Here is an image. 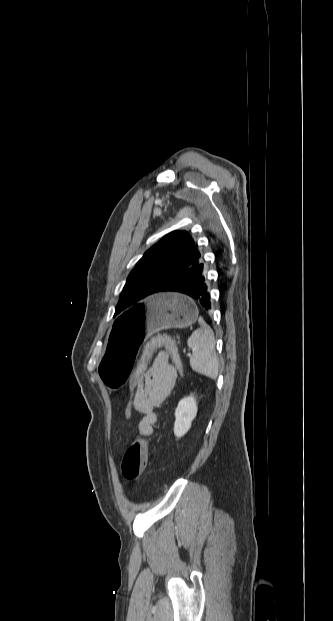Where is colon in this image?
<instances>
[{
    "mask_svg": "<svg viewBox=\"0 0 333 621\" xmlns=\"http://www.w3.org/2000/svg\"><path fill=\"white\" fill-rule=\"evenodd\" d=\"M164 347L170 354L172 361L180 372L182 370V362L176 345L168 337H153L144 346L143 352L130 378L131 400L126 408L127 416H130L133 409V398L139 387V384L146 372V367L153 352ZM148 459V441L141 439L133 443L125 452L122 463L121 472L123 477L128 481L137 479L145 470Z\"/></svg>",
    "mask_w": 333,
    "mask_h": 621,
    "instance_id": "5ec220e1",
    "label": "colon"
}]
</instances>
